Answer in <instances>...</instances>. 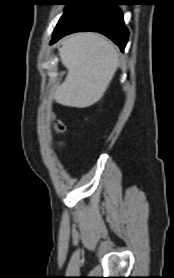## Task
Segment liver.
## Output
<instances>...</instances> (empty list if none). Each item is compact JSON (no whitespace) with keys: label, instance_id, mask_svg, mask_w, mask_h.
Masks as SVG:
<instances>
[{"label":"liver","instance_id":"obj_1","mask_svg":"<svg viewBox=\"0 0 174 278\" xmlns=\"http://www.w3.org/2000/svg\"><path fill=\"white\" fill-rule=\"evenodd\" d=\"M59 55L68 73L54 93L55 101L76 108L98 102L118 67L114 44L97 33L72 34L62 41Z\"/></svg>","mask_w":174,"mask_h":278}]
</instances>
